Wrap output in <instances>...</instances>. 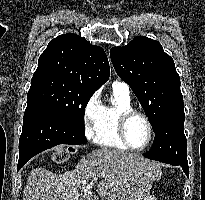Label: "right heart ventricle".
Masks as SVG:
<instances>
[{
  "label": "right heart ventricle",
  "instance_id": "e07e8e85",
  "mask_svg": "<svg viewBox=\"0 0 205 200\" xmlns=\"http://www.w3.org/2000/svg\"><path fill=\"white\" fill-rule=\"evenodd\" d=\"M114 102L102 108L95 142L103 147L118 150L128 149L121 141L117 131V120L121 112L133 109L131 98L113 89Z\"/></svg>",
  "mask_w": 205,
  "mask_h": 200
}]
</instances>
